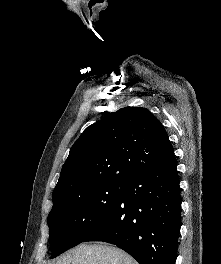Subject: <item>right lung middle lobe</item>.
Here are the masks:
<instances>
[{"label": "right lung middle lobe", "mask_w": 221, "mask_h": 264, "mask_svg": "<svg viewBox=\"0 0 221 264\" xmlns=\"http://www.w3.org/2000/svg\"><path fill=\"white\" fill-rule=\"evenodd\" d=\"M125 182L104 183L75 193L49 213L51 258L80 244L111 212Z\"/></svg>", "instance_id": "right-lung-middle-lobe-1"}]
</instances>
